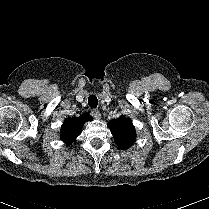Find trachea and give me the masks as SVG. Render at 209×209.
I'll return each mask as SVG.
<instances>
[{
  "label": "trachea",
  "mask_w": 209,
  "mask_h": 209,
  "mask_svg": "<svg viewBox=\"0 0 209 209\" xmlns=\"http://www.w3.org/2000/svg\"><path fill=\"white\" fill-rule=\"evenodd\" d=\"M88 104L91 108H96L98 105V99L95 95H90L88 98Z\"/></svg>",
  "instance_id": "1"
}]
</instances>
